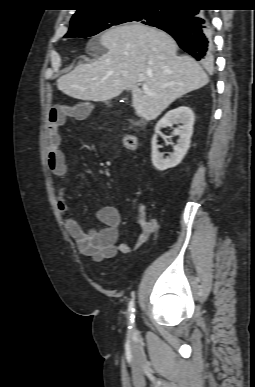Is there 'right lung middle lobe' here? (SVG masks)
I'll list each match as a JSON object with an SVG mask.
<instances>
[{
  "label": "right lung middle lobe",
  "instance_id": "dd1d6c3e",
  "mask_svg": "<svg viewBox=\"0 0 255 387\" xmlns=\"http://www.w3.org/2000/svg\"><path fill=\"white\" fill-rule=\"evenodd\" d=\"M174 9L163 6H122L71 21L65 38L93 36L114 25L140 21L143 24L159 27L172 18Z\"/></svg>",
  "mask_w": 255,
  "mask_h": 387
}]
</instances>
